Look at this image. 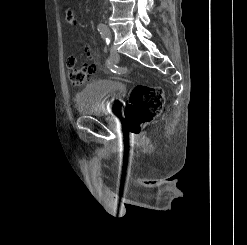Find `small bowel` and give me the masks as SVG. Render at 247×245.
<instances>
[{
	"label": "small bowel",
	"instance_id": "1",
	"mask_svg": "<svg viewBox=\"0 0 247 245\" xmlns=\"http://www.w3.org/2000/svg\"><path fill=\"white\" fill-rule=\"evenodd\" d=\"M66 19L70 24L74 22V12L71 8L66 9Z\"/></svg>",
	"mask_w": 247,
	"mask_h": 245
}]
</instances>
